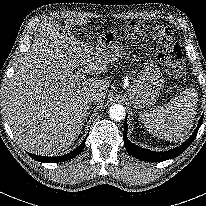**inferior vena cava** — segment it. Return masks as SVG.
Segmentation results:
<instances>
[{
    "label": "inferior vena cava",
    "instance_id": "1",
    "mask_svg": "<svg viewBox=\"0 0 206 206\" xmlns=\"http://www.w3.org/2000/svg\"><path fill=\"white\" fill-rule=\"evenodd\" d=\"M88 102H99L100 98L96 94H89L87 97Z\"/></svg>",
    "mask_w": 206,
    "mask_h": 206
}]
</instances>
